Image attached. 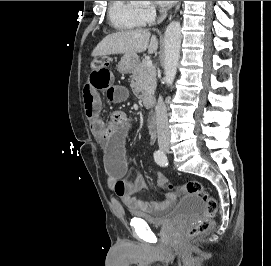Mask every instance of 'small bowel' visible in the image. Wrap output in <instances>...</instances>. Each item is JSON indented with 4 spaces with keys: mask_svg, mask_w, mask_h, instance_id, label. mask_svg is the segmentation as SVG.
<instances>
[{
    "mask_svg": "<svg viewBox=\"0 0 271 266\" xmlns=\"http://www.w3.org/2000/svg\"><path fill=\"white\" fill-rule=\"evenodd\" d=\"M100 91L105 92L111 100H122L127 93L123 87L115 85L114 73L109 67L90 69L89 79L83 89L84 109L94 138L100 142H108L105 171L110 189L133 210L156 212L167 209L176 199L172 192L166 193L161 201H145L135 197L148 184L142 175H136L133 179L125 178L128 163L123 138L128 119L124 112L115 111L107 125L101 116ZM156 180L160 185L167 182L162 173H157Z\"/></svg>",
    "mask_w": 271,
    "mask_h": 266,
    "instance_id": "small-bowel-1",
    "label": "small bowel"
}]
</instances>
